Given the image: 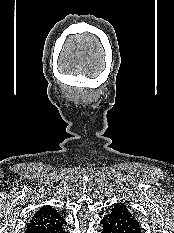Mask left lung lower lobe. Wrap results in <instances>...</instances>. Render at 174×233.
I'll use <instances>...</instances> for the list:
<instances>
[{
	"label": "left lung lower lobe",
	"mask_w": 174,
	"mask_h": 233,
	"mask_svg": "<svg viewBox=\"0 0 174 233\" xmlns=\"http://www.w3.org/2000/svg\"><path fill=\"white\" fill-rule=\"evenodd\" d=\"M101 223L103 225L101 233H141L142 230L134 217L112 211L101 220Z\"/></svg>",
	"instance_id": "obj_1"
}]
</instances>
